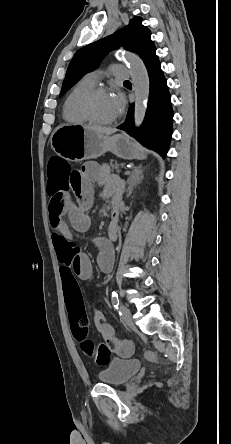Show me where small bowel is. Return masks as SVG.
I'll return each instance as SVG.
<instances>
[{
    "label": "small bowel",
    "mask_w": 231,
    "mask_h": 444,
    "mask_svg": "<svg viewBox=\"0 0 231 444\" xmlns=\"http://www.w3.org/2000/svg\"><path fill=\"white\" fill-rule=\"evenodd\" d=\"M96 183L100 195L108 197L117 192L118 180L112 177L105 167L95 163H86L78 171L77 178L70 188L76 202L68 194V190L62 193V200L56 209H49L52 238L57 253L65 296L81 295L77 278L87 280L92 275V265L89 257L81 251L72 238L69 225L76 231L85 232L89 229L91 219L88 215V207L93 197V184ZM119 197L116 195L114 205H118ZM118 226L109 225L108 237L98 238L96 241L99 253L97 263L104 272H110L114 263L113 241L117 235ZM93 321L97 331L106 340H116L113 327L108 323L104 314L99 310L93 311Z\"/></svg>",
    "instance_id": "c3829d8e"
}]
</instances>
